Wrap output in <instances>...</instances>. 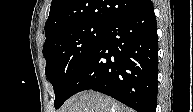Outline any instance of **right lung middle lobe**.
Instances as JSON below:
<instances>
[{
	"label": "right lung middle lobe",
	"mask_w": 193,
	"mask_h": 112,
	"mask_svg": "<svg viewBox=\"0 0 193 112\" xmlns=\"http://www.w3.org/2000/svg\"><path fill=\"white\" fill-rule=\"evenodd\" d=\"M107 26L79 23L62 29L44 43L45 74L54 88V107L70 97L71 88Z\"/></svg>",
	"instance_id": "dd1d6c3e"
}]
</instances>
